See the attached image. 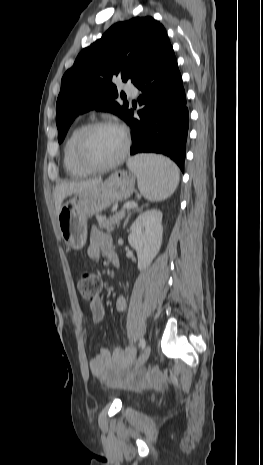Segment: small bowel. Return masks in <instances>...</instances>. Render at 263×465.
I'll return each mask as SVG.
<instances>
[{"label":"small bowel","instance_id":"obj_1","mask_svg":"<svg viewBox=\"0 0 263 465\" xmlns=\"http://www.w3.org/2000/svg\"><path fill=\"white\" fill-rule=\"evenodd\" d=\"M114 252L112 238L109 234L93 228L90 235V243L87 248V256L90 260H98L102 255L109 258ZM115 308L118 313H122L127 308L125 297L118 296L115 300ZM91 320L99 323L104 317L103 303L99 298H95L89 304ZM134 351L131 348H116L112 353L104 348H99L90 360L92 373L103 383L109 386H116L125 383L128 386H142L146 381L158 386L162 382L159 373L153 372L147 376L136 374L128 377V368L133 358Z\"/></svg>","mask_w":263,"mask_h":465}]
</instances>
